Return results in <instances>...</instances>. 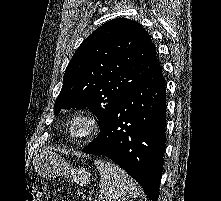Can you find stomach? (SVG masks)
<instances>
[{"label": "stomach", "instance_id": "obj_1", "mask_svg": "<svg viewBox=\"0 0 221 201\" xmlns=\"http://www.w3.org/2000/svg\"><path fill=\"white\" fill-rule=\"evenodd\" d=\"M33 165L36 172L44 177L64 175L65 177H70L72 182L81 186L88 184L91 176L87 169L73 167L51 151L40 153L35 158Z\"/></svg>", "mask_w": 221, "mask_h": 201}]
</instances>
